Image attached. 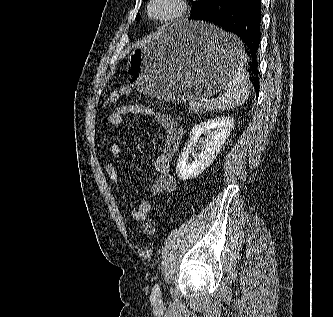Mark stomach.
<instances>
[{
    "label": "stomach",
    "instance_id": "0dacf381",
    "mask_svg": "<svg viewBox=\"0 0 333 317\" xmlns=\"http://www.w3.org/2000/svg\"><path fill=\"white\" fill-rule=\"evenodd\" d=\"M246 45L219 24H173L135 47L127 62L130 82L150 97L170 102L209 98L230 87L248 62Z\"/></svg>",
    "mask_w": 333,
    "mask_h": 317
}]
</instances>
